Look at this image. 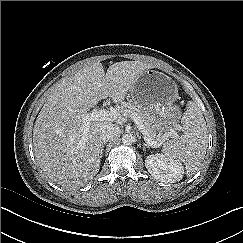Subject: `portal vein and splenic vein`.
Segmentation results:
<instances>
[{
  "mask_svg": "<svg viewBox=\"0 0 243 243\" xmlns=\"http://www.w3.org/2000/svg\"><path fill=\"white\" fill-rule=\"evenodd\" d=\"M132 120L137 124L139 130L142 132L144 140L150 146H157V142L148 138L147 134L144 130V126L141 123L139 117H137L134 113L130 116ZM122 115L116 110H105V109H95L91 113L83 114L82 120L84 126H88L91 121H104V120H120ZM87 129V128H86ZM175 133H170L167 136H175Z\"/></svg>",
  "mask_w": 243,
  "mask_h": 243,
  "instance_id": "1",
  "label": "portal vein and splenic vein"
}]
</instances>
